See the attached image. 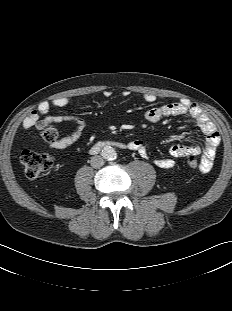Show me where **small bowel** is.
<instances>
[{"mask_svg": "<svg viewBox=\"0 0 232 311\" xmlns=\"http://www.w3.org/2000/svg\"><path fill=\"white\" fill-rule=\"evenodd\" d=\"M122 94L127 97L130 93L124 91ZM103 96L109 98L111 92L104 91ZM142 98L147 103H152L156 100V96L149 92L144 93ZM71 100L72 98L69 96H61L41 102L37 111L31 112L25 117L23 127L27 130L34 128L39 123V115H46L51 107H64L68 105ZM185 115L189 116L203 133V144H174L169 148L170 157L155 158L153 162L161 169H171L175 166V158L186 157L190 154L196 156L201 155L200 168L203 172H209L213 166L216 147L220 142V133L215 124L198 105L191 104L186 100L168 103L148 109L144 114V118L150 123H156L165 117ZM63 122H73L75 128L70 134L50 143L51 147L59 150L66 149L77 143L81 139L86 127V120L82 116L68 114L49 115L42 121V124L49 125ZM128 148L136 151L143 158L148 157L147 147L145 142L141 139H135L128 142Z\"/></svg>", "mask_w": 232, "mask_h": 311, "instance_id": "c3829d8e", "label": "small bowel"}]
</instances>
